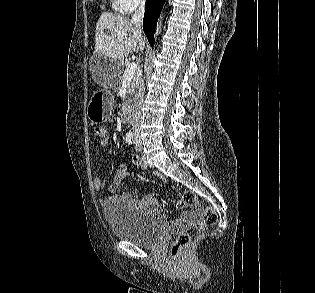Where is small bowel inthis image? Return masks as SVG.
Here are the masks:
<instances>
[{
	"label": "small bowel",
	"instance_id": "small-bowel-1",
	"mask_svg": "<svg viewBox=\"0 0 315 293\" xmlns=\"http://www.w3.org/2000/svg\"><path fill=\"white\" fill-rule=\"evenodd\" d=\"M100 143L103 148H106L110 143L108 136L106 135L104 138H102ZM131 162L136 167H139V168L144 167L143 161L138 156L133 157ZM99 172H100V169L96 167L94 169V178H93V185L96 192H101L102 190V181H101V178L99 177ZM129 175H130V172H129L128 166L126 164H122L117 170L109 186L110 195L104 199H101L100 201L103 207L109 206L110 204L115 203V202L130 203L151 212L157 221H159L160 223H162L169 229H172L175 231L189 230L190 226L196 219V213L193 211H185L177 220L171 221L167 218V216L162 211L158 200L152 195H148L141 200L133 199L131 195L128 193H122L120 195H117L116 193L119 187ZM152 175L156 179L162 182L166 180L165 177L158 172H153ZM177 207L184 208L186 206L183 205L181 202H178Z\"/></svg>",
	"mask_w": 315,
	"mask_h": 293
}]
</instances>
